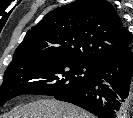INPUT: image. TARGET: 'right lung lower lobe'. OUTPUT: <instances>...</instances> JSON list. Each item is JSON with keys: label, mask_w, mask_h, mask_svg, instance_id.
I'll return each instance as SVG.
<instances>
[{"label": "right lung lower lobe", "mask_w": 133, "mask_h": 118, "mask_svg": "<svg viewBox=\"0 0 133 118\" xmlns=\"http://www.w3.org/2000/svg\"><path fill=\"white\" fill-rule=\"evenodd\" d=\"M94 70L89 82L54 98L80 106L99 118H123L130 104L131 47L99 63Z\"/></svg>", "instance_id": "right-lung-lower-lobe-1"}]
</instances>
